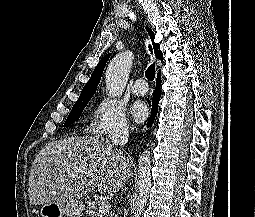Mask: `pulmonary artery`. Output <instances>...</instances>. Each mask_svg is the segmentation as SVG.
Listing matches in <instances>:
<instances>
[{
    "label": "pulmonary artery",
    "instance_id": "pulmonary-artery-1",
    "mask_svg": "<svg viewBox=\"0 0 255 217\" xmlns=\"http://www.w3.org/2000/svg\"><path fill=\"white\" fill-rule=\"evenodd\" d=\"M132 91L137 96L145 95L148 91V87L145 85V80L143 78L136 79Z\"/></svg>",
    "mask_w": 255,
    "mask_h": 217
}]
</instances>
